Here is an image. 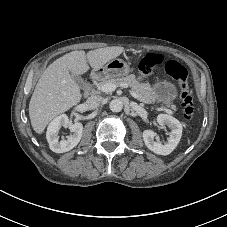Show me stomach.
I'll return each instance as SVG.
<instances>
[{"mask_svg": "<svg viewBox=\"0 0 227 227\" xmlns=\"http://www.w3.org/2000/svg\"><path fill=\"white\" fill-rule=\"evenodd\" d=\"M100 69L98 75L105 79L123 77L130 72L129 65L122 59H112ZM177 95L176 87L167 80H157L151 88V98L158 103L170 104Z\"/></svg>", "mask_w": 227, "mask_h": 227, "instance_id": "0dacf381", "label": "stomach"}]
</instances>
